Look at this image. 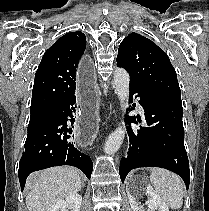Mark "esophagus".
Listing matches in <instances>:
<instances>
[{"label": "esophagus", "instance_id": "obj_1", "mask_svg": "<svg viewBox=\"0 0 209 211\" xmlns=\"http://www.w3.org/2000/svg\"><path fill=\"white\" fill-rule=\"evenodd\" d=\"M82 64L78 67L76 93H74V106L76 108L75 133L73 141L76 145H93L95 133H98V105L97 89L93 79L94 64L92 56H81Z\"/></svg>", "mask_w": 209, "mask_h": 211}]
</instances>
